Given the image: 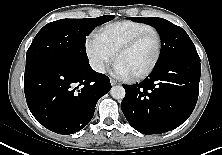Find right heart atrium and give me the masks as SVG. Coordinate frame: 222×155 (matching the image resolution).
<instances>
[{
  "mask_svg": "<svg viewBox=\"0 0 222 155\" xmlns=\"http://www.w3.org/2000/svg\"><path fill=\"white\" fill-rule=\"evenodd\" d=\"M86 53L91 67L103 73L115 56V52L105 43L99 33L90 34L85 43Z\"/></svg>",
  "mask_w": 222,
  "mask_h": 155,
  "instance_id": "1",
  "label": "right heart atrium"
}]
</instances>
